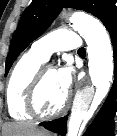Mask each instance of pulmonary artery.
Here are the masks:
<instances>
[{"label":"pulmonary artery","instance_id":"e3ab8cb5","mask_svg":"<svg viewBox=\"0 0 117 136\" xmlns=\"http://www.w3.org/2000/svg\"><path fill=\"white\" fill-rule=\"evenodd\" d=\"M81 41L79 35L69 29H59L36 40L31 51L47 60L54 52L80 49Z\"/></svg>","mask_w":117,"mask_h":136}]
</instances>
